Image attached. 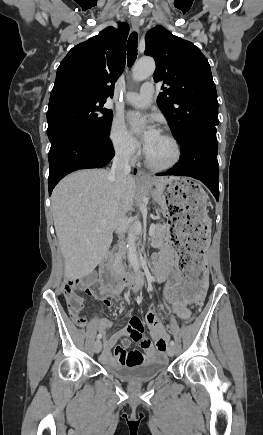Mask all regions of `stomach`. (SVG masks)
Wrapping results in <instances>:
<instances>
[{
    "instance_id": "obj_1",
    "label": "stomach",
    "mask_w": 263,
    "mask_h": 435,
    "mask_svg": "<svg viewBox=\"0 0 263 435\" xmlns=\"http://www.w3.org/2000/svg\"><path fill=\"white\" fill-rule=\"evenodd\" d=\"M149 188L163 214L172 219L167 233L174 255L162 265L161 275L169 279L160 286V293L171 305H201L205 288L210 287L209 269L204 267L213 233L207 194L198 182L180 176L153 178Z\"/></svg>"
}]
</instances>
